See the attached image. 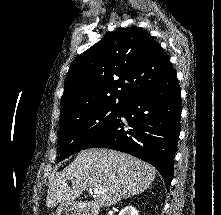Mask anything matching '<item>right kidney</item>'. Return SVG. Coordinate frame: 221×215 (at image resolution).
<instances>
[{
    "instance_id": "ca27d5eb",
    "label": "right kidney",
    "mask_w": 221,
    "mask_h": 215,
    "mask_svg": "<svg viewBox=\"0 0 221 215\" xmlns=\"http://www.w3.org/2000/svg\"><path fill=\"white\" fill-rule=\"evenodd\" d=\"M119 215H139V214L136 208H134L133 206H126L123 210H121Z\"/></svg>"
}]
</instances>
